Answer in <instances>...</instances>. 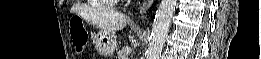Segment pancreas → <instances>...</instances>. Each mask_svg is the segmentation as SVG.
I'll list each match as a JSON object with an SVG mask.
<instances>
[{
  "mask_svg": "<svg viewBox=\"0 0 261 59\" xmlns=\"http://www.w3.org/2000/svg\"><path fill=\"white\" fill-rule=\"evenodd\" d=\"M132 52L131 47L126 46L124 48H122L121 50H119L118 54H117V59H127V56Z\"/></svg>",
  "mask_w": 261,
  "mask_h": 59,
  "instance_id": "1",
  "label": "pancreas"
}]
</instances>
